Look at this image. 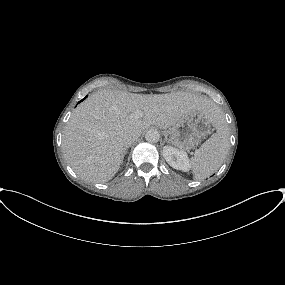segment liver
<instances>
[{"label": "liver", "mask_w": 285, "mask_h": 285, "mask_svg": "<svg viewBox=\"0 0 285 285\" xmlns=\"http://www.w3.org/2000/svg\"><path fill=\"white\" fill-rule=\"evenodd\" d=\"M208 114L212 124L218 107L189 92L134 94L113 90L89 96L72 113L63 131L62 149L74 172L84 180L106 182L122 163L125 134L140 136L151 125L167 129L193 111ZM139 111L142 116H133Z\"/></svg>", "instance_id": "1"}]
</instances>
